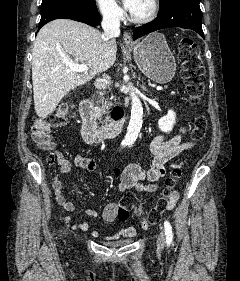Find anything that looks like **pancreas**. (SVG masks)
<instances>
[{
	"mask_svg": "<svg viewBox=\"0 0 240 281\" xmlns=\"http://www.w3.org/2000/svg\"><path fill=\"white\" fill-rule=\"evenodd\" d=\"M105 92L99 91L96 95H94L93 101H94V109L95 113L97 114L98 118L101 120L102 123H106L109 121V117H105L103 119V115L107 114L111 106L113 105L110 102L109 98H106Z\"/></svg>",
	"mask_w": 240,
	"mask_h": 281,
	"instance_id": "cf45deb5",
	"label": "pancreas"
}]
</instances>
